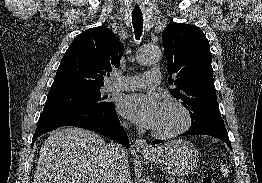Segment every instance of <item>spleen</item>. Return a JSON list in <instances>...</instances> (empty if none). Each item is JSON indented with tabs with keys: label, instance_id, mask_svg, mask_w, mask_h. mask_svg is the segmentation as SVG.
<instances>
[{
	"label": "spleen",
	"instance_id": "3e777b00",
	"mask_svg": "<svg viewBox=\"0 0 262 183\" xmlns=\"http://www.w3.org/2000/svg\"><path fill=\"white\" fill-rule=\"evenodd\" d=\"M221 172L223 174L224 177H228V169L224 164H221Z\"/></svg>",
	"mask_w": 262,
	"mask_h": 183
}]
</instances>
